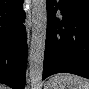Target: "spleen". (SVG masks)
Here are the masks:
<instances>
[{"label": "spleen", "instance_id": "obj_1", "mask_svg": "<svg viewBox=\"0 0 89 89\" xmlns=\"http://www.w3.org/2000/svg\"><path fill=\"white\" fill-rule=\"evenodd\" d=\"M48 87L52 89H89V81L77 75L59 73L51 77Z\"/></svg>", "mask_w": 89, "mask_h": 89}]
</instances>
